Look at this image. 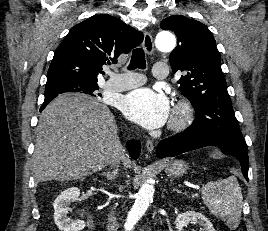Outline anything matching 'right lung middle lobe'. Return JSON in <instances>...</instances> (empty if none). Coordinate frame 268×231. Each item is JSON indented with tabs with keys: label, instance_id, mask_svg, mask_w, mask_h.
<instances>
[{
	"label": "right lung middle lobe",
	"instance_id": "right-lung-middle-lobe-1",
	"mask_svg": "<svg viewBox=\"0 0 268 231\" xmlns=\"http://www.w3.org/2000/svg\"><path fill=\"white\" fill-rule=\"evenodd\" d=\"M98 85H86L76 82L62 81L54 84L46 85L45 87V99H54L56 96L67 92H77L93 95V92L98 90ZM95 96V95H93Z\"/></svg>",
	"mask_w": 268,
	"mask_h": 231
}]
</instances>
